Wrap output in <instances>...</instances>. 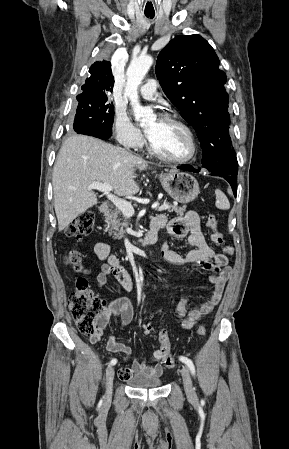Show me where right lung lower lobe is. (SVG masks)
I'll return each instance as SVG.
<instances>
[{
	"label": "right lung lower lobe",
	"mask_w": 289,
	"mask_h": 449,
	"mask_svg": "<svg viewBox=\"0 0 289 449\" xmlns=\"http://www.w3.org/2000/svg\"><path fill=\"white\" fill-rule=\"evenodd\" d=\"M79 134H85V135H89V136H94L100 139H108L110 136L101 134V133H97V132H93L92 130L89 129H84L82 131H80Z\"/></svg>",
	"instance_id": "1"
}]
</instances>
